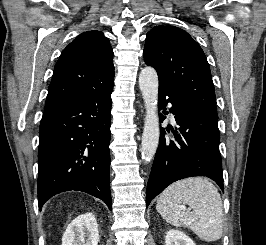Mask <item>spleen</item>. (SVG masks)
<instances>
[{"instance_id": "3e777b00", "label": "spleen", "mask_w": 266, "mask_h": 245, "mask_svg": "<svg viewBox=\"0 0 266 245\" xmlns=\"http://www.w3.org/2000/svg\"><path fill=\"white\" fill-rule=\"evenodd\" d=\"M182 205H189L186 213L180 211ZM156 211L166 223L173 227H188L202 241L210 243L222 237L221 197L205 177H189L167 187L157 201Z\"/></svg>"}]
</instances>
